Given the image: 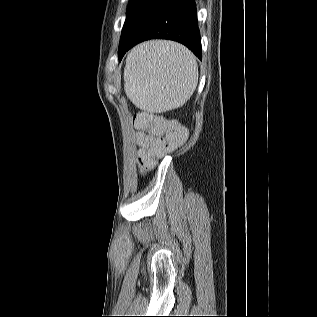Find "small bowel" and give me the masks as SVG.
<instances>
[{
    "mask_svg": "<svg viewBox=\"0 0 317 317\" xmlns=\"http://www.w3.org/2000/svg\"><path fill=\"white\" fill-rule=\"evenodd\" d=\"M137 143L140 145L142 151L148 150L154 142V137L150 135H146L144 133L138 132L136 134Z\"/></svg>",
    "mask_w": 317,
    "mask_h": 317,
    "instance_id": "small-bowel-1",
    "label": "small bowel"
}]
</instances>
